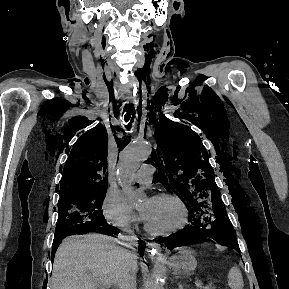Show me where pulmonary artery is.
<instances>
[{"label": "pulmonary artery", "mask_w": 289, "mask_h": 289, "mask_svg": "<svg viewBox=\"0 0 289 289\" xmlns=\"http://www.w3.org/2000/svg\"><path fill=\"white\" fill-rule=\"evenodd\" d=\"M155 172V167L151 163H146L132 175L131 181L137 184H149Z\"/></svg>", "instance_id": "1"}]
</instances>
